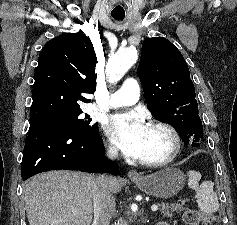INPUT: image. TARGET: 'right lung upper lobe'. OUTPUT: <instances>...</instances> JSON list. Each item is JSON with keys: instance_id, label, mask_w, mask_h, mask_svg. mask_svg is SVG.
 <instances>
[{"instance_id": "1", "label": "right lung upper lobe", "mask_w": 237, "mask_h": 225, "mask_svg": "<svg viewBox=\"0 0 237 225\" xmlns=\"http://www.w3.org/2000/svg\"><path fill=\"white\" fill-rule=\"evenodd\" d=\"M96 63L92 42L83 33H65L48 41L35 72L30 124L80 111V102H90L83 94L96 89Z\"/></svg>"}]
</instances>
